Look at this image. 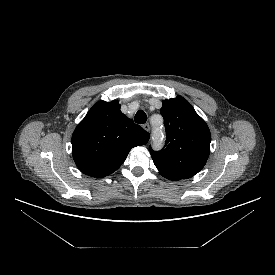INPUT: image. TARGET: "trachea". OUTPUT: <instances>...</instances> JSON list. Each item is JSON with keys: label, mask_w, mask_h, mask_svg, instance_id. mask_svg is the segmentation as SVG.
Returning <instances> with one entry per match:
<instances>
[{"label": "trachea", "mask_w": 275, "mask_h": 275, "mask_svg": "<svg viewBox=\"0 0 275 275\" xmlns=\"http://www.w3.org/2000/svg\"><path fill=\"white\" fill-rule=\"evenodd\" d=\"M134 120L138 124H144L147 121V115H146V113L143 110H139L136 113V115L134 117Z\"/></svg>", "instance_id": "obj_1"}]
</instances>
